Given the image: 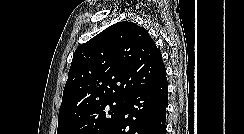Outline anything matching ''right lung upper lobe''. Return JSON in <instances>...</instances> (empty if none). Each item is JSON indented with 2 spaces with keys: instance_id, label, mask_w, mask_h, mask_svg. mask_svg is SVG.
Wrapping results in <instances>:
<instances>
[{
  "instance_id": "right-lung-upper-lobe-1",
  "label": "right lung upper lobe",
  "mask_w": 244,
  "mask_h": 134,
  "mask_svg": "<svg viewBox=\"0 0 244 134\" xmlns=\"http://www.w3.org/2000/svg\"><path fill=\"white\" fill-rule=\"evenodd\" d=\"M165 76L148 31L129 21L113 24L75 50L58 120L106 100H126Z\"/></svg>"
}]
</instances>
